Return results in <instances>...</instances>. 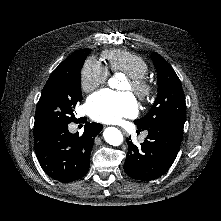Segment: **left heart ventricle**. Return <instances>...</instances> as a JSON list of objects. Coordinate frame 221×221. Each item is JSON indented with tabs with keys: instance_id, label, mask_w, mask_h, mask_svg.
<instances>
[{
	"instance_id": "obj_1",
	"label": "left heart ventricle",
	"mask_w": 221,
	"mask_h": 221,
	"mask_svg": "<svg viewBox=\"0 0 221 221\" xmlns=\"http://www.w3.org/2000/svg\"><path fill=\"white\" fill-rule=\"evenodd\" d=\"M120 90H123V91H130L131 88H130V84L128 81H125L121 84L120 86Z\"/></svg>"
}]
</instances>
